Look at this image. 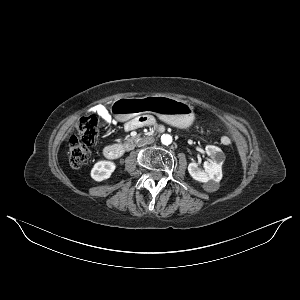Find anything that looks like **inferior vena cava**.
I'll return each instance as SVG.
<instances>
[{"mask_svg":"<svg viewBox=\"0 0 300 300\" xmlns=\"http://www.w3.org/2000/svg\"><path fill=\"white\" fill-rule=\"evenodd\" d=\"M154 142V139L152 137H149V138H142L139 143H138V146L141 147V146H145L147 144H151Z\"/></svg>","mask_w":300,"mask_h":300,"instance_id":"obj_1","label":"inferior vena cava"}]
</instances>
